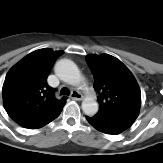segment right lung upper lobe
Returning <instances> with one entry per match:
<instances>
[{
  "instance_id": "obj_1",
  "label": "right lung upper lobe",
  "mask_w": 163,
  "mask_h": 163,
  "mask_svg": "<svg viewBox=\"0 0 163 163\" xmlns=\"http://www.w3.org/2000/svg\"><path fill=\"white\" fill-rule=\"evenodd\" d=\"M64 52L45 48L36 50L14 65L3 85L4 108L17 120L47 116L63 108L67 98L57 99L47 77L55 60Z\"/></svg>"
}]
</instances>
